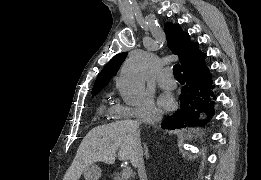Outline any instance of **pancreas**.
I'll return each instance as SVG.
<instances>
[{
	"label": "pancreas",
	"mask_w": 261,
	"mask_h": 180,
	"mask_svg": "<svg viewBox=\"0 0 261 180\" xmlns=\"http://www.w3.org/2000/svg\"><path fill=\"white\" fill-rule=\"evenodd\" d=\"M110 175H112V178H114V180H121L120 172L118 170L110 172Z\"/></svg>",
	"instance_id": "1"
}]
</instances>
